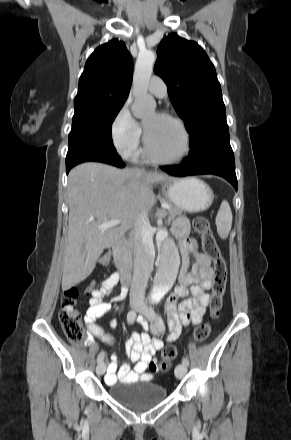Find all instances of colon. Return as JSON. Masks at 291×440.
I'll use <instances>...</instances> for the list:
<instances>
[{
	"label": "colon",
	"mask_w": 291,
	"mask_h": 440,
	"mask_svg": "<svg viewBox=\"0 0 291 440\" xmlns=\"http://www.w3.org/2000/svg\"><path fill=\"white\" fill-rule=\"evenodd\" d=\"M193 228L202 237L203 250L214 264V279L212 286L211 312L216 316L222 305V296L225 291L227 281V265L223 258L220 248L212 233L210 222L203 216H197L193 220ZM110 257L102 259V265L108 266ZM102 288L94 286L84 288L82 295L86 298L101 291ZM80 297V290L73 286L64 291L61 299V310L59 312V322L63 333L72 343H81L85 340V332L79 321V314L76 308ZM208 324L200 325L195 332V340L202 341L210 334ZM178 350L174 345H167L161 356V368L167 370L170 362L177 356Z\"/></svg>",
	"instance_id": "obj_1"
}]
</instances>
